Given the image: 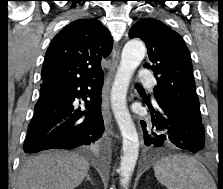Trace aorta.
<instances>
[{"mask_svg": "<svg viewBox=\"0 0 223 189\" xmlns=\"http://www.w3.org/2000/svg\"><path fill=\"white\" fill-rule=\"evenodd\" d=\"M145 54L146 48L142 41L134 39L125 44L111 89V106L123 138L119 172L124 187L131 179L139 155L138 133L127 108L126 96L132 75Z\"/></svg>", "mask_w": 223, "mask_h": 189, "instance_id": "762f6f07", "label": "aorta"}]
</instances>
